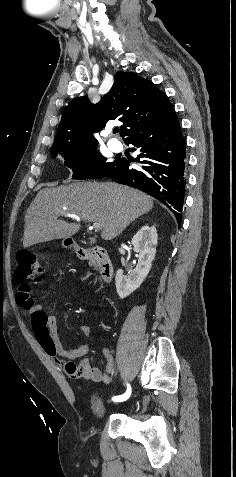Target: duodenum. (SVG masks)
Returning <instances> with one entry per match:
<instances>
[{
	"label": "duodenum",
	"mask_w": 236,
	"mask_h": 477,
	"mask_svg": "<svg viewBox=\"0 0 236 477\" xmlns=\"http://www.w3.org/2000/svg\"><path fill=\"white\" fill-rule=\"evenodd\" d=\"M71 246L74 247L81 259L92 261L96 264L99 274L105 283L111 281L114 268L108 253L104 248L100 246L87 248L75 243H71Z\"/></svg>",
	"instance_id": "duodenum-1"
}]
</instances>
